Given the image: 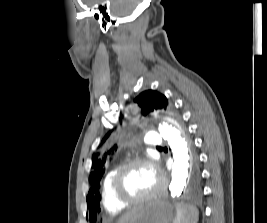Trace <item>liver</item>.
<instances>
[{"label":"liver","mask_w":267,"mask_h":223,"mask_svg":"<svg viewBox=\"0 0 267 223\" xmlns=\"http://www.w3.org/2000/svg\"><path fill=\"white\" fill-rule=\"evenodd\" d=\"M138 211V207L133 208L132 210L126 212L118 221V223H125L129 220L136 212Z\"/></svg>","instance_id":"1"}]
</instances>
